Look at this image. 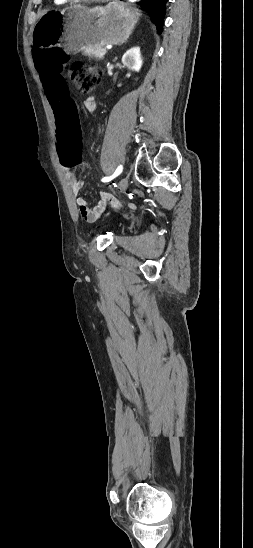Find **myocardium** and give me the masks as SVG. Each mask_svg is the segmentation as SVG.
Wrapping results in <instances>:
<instances>
[{
  "mask_svg": "<svg viewBox=\"0 0 253 548\" xmlns=\"http://www.w3.org/2000/svg\"><path fill=\"white\" fill-rule=\"evenodd\" d=\"M67 1H79V2H87V1H102V0H67Z\"/></svg>",
  "mask_w": 253,
  "mask_h": 548,
  "instance_id": "1",
  "label": "myocardium"
}]
</instances>
